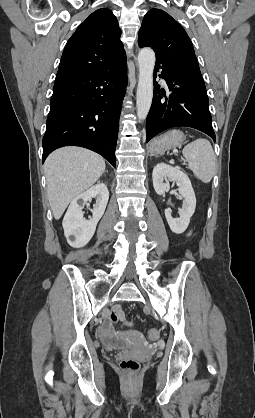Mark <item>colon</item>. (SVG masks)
<instances>
[{
	"label": "colon",
	"mask_w": 255,
	"mask_h": 418,
	"mask_svg": "<svg viewBox=\"0 0 255 418\" xmlns=\"http://www.w3.org/2000/svg\"><path fill=\"white\" fill-rule=\"evenodd\" d=\"M158 337V332L156 330H150L148 332V338L150 340H155ZM120 368L124 374L129 377H134L140 370V362L134 358H123L120 360Z\"/></svg>",
	"instance_id": "1"
}]
</instances>
